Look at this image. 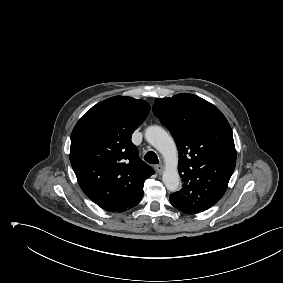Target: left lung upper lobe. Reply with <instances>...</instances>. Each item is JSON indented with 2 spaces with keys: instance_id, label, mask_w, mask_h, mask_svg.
I'll list each match as a JSON object with an SVG mask.
<instances>
[{
  "instance_id": "left-lung-upper-lobe-1",
  "label": "left lung upper lobe",
  "mask_w": 283,
  "mask_h": 283,
  "mask_svg": "<svg viewBox=\"0 0 283 283\" xmlns=\"http://www.w3.org/2000/svg\"><path fill=\"white\" fill-rule=\"evenodd\" d=\"M153 113L179 152L181 190L172 195L203 212L224 195L236 165L232 129L217 107L192 94L156 99Z\"/></svg>"
}]
</instances>
